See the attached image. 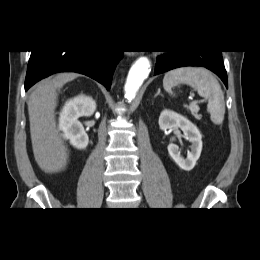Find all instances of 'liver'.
Returning a JSON list of instances; mask_svg holds the SVG:
<instances>
[{
	"label": "liver",
	"mask_w": 260,
	"mask_h": 260,
	"mask_svg": "<svg viewBox=\"0 0 260 260\" xmlns=\"http://www.w3.org/2000/svg\"><path fill=\"white\" fill-rule=\"evenodd\" d=\"M77 77L76 73L56 74L37 85L27 103L34 157L47 173L59 172L67 165L68 150L56 128L57 89Z\"/></svg>",
	"instance_id": "1"
}]
</instances>
